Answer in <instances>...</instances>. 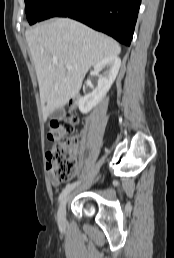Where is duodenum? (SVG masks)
<instances>
[{
    "label": "duodenum",
    "instance_id": "1",
    "mask_svg": "<svg viewBox=\"0 0 174 258\" xmlns=\"http://www.w3.org/2000/svg\"><path fill=\"white\" fill-rule=\"evenodd\" d=\"M71 104L73 105V104H74V102H73V101H71Z\"/></svg>",
    "mask_w": 174,
    "mask_h": 258
}]
</instances>
